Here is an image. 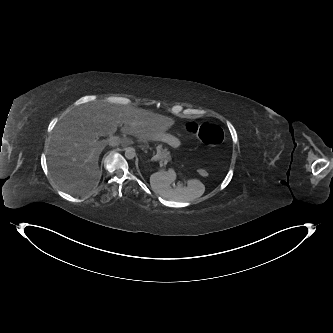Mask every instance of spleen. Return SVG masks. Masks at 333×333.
<instances>
[{"label":"spleen","instance_id":"1","mask_svg":"<svg viewBox=\"0 0 333 333\" xmlns=\"http://www.w3.org/2000/svg\"><path fill=\"white\" fill-rule=\"evenodd\" d=\"M176 176L171 171H158L150 176L152 190L165 199L174 201H191L201 197L205 192L204 184L197 180H189L187 186L175 183Z\"/></svg>","mask_w":333,"mask_h":333}]
</instances>
